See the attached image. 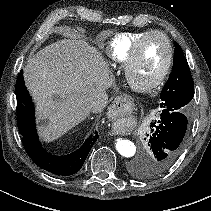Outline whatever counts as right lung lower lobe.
Masks as SVG:
<instances>
[{
	"label": "right lung lower lobe",
	"instance_id": "1",
	"mask_svg": "<svg viewBox=\"0 0 211 211\" xmlns=\"http://www.w3.org/2000/svg\"><path fill=\"white\" fill-rule=\"evenodd\" d=\"M21 71L17 77L15 91L17 98V123L23 145L34 163L56 175L69 176L78 172L92 146L98 139V132L91 134L85 143L69 155L55 156L43 149L40 144L34 117V105L27 91Z\"/></svg>",
	"mask_w": 211,
	"mask_h": 211
}]
</instances>
